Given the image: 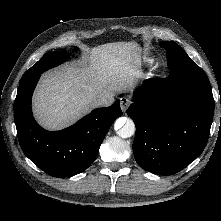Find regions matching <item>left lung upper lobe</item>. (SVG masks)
<instances>
[{
	"label": "left lung upper lobe",
	"mask_w": 221,
	"mask_h": 221,
	"mask_svg": "<svg viewBox=\"0 0 221 221\" xmlns=\"http://www.w3.org/2000/svg\"><path fill=\"white\" fill-rule=\"evenodd\" d=\"M160 45L167 51V62L171 71L199 69L197 64L186 52L172 41L161 42Z\"/></svg>",
	"instance_id": "5c2ea615"
}]
</instances>
